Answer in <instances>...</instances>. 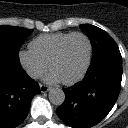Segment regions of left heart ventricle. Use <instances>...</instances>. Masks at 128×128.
Segmentation results:
<instances>
[{
  "mask_svg": "<svg viewBox=\"0 0 128 128\" xmlns=\"http://www.w3.org/2000/svg\"><path fill=\"white\" fill-rule=\"evenodd\" d=\"M88 54V45L81 36L71 38L64 47L60 59L53 65L54 72L61 81L77 76L83 69Z\"/></svg>",
  "mask_w": 128,
  "mask_h": 128,
  "instance_id": "1",
  "label": "left heart ventricle"
}]
</instances>
